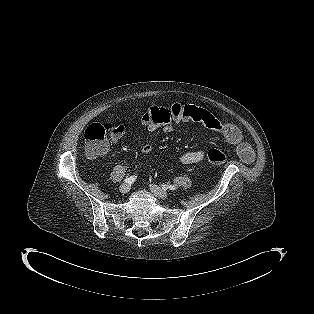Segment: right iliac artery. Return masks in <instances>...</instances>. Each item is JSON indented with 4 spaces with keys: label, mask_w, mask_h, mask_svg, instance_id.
Wrapping results in <instances>:
<instances>
[{
    "label": "right iliac artery",
    "mask_w": 314,
    "mask_h": 314,
    "mask_svg": "<svg viewBox=\"0 0 314 314\" xmlns=\"http://www.w3.org/2000/svg\"><path fill=\"white\" fill-rule=\"evenodd\" d=\"M136 177H137V176H135V175L130 176V177L126 178V179L124 180V182H125V183H128V184H131V183H133V182L135 181Z\"/></svg>",
    "instance_id": "82829eb1"
}]
</instances>
